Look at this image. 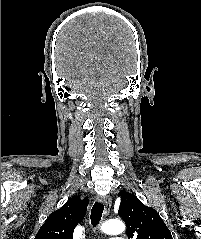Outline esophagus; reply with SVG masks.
Masks as SVG:
<instances>
[{"instance_id":"34e87169","label":"esophagus","mask_w":201,"mask_h":239,"mask_svg":"<svg viewBox=\"0 0 201 239\" xmlns=\"http://www.w3.org/2000/svg\"><path fill=\"white\" fill-rule=\"evenodd\" d=\"M98 201L104 204L105 210L104 213L107 215L110 211L112 205V199L110 196H98Z\"/></svg>"}]
</instances>
